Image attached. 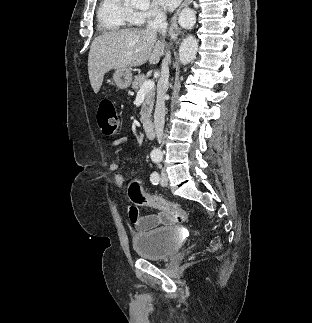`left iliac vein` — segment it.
<instances>
[{
	"mask_svg": "<svg viewBox=\"0 0 312 323\" xmlns=\"http://www.w3.org/2000/svg\"><path fill=\"white\" fill-rule=\"evenodd\" d=\"M160 183H161L162 186H167V184H168V178H167V173H166L165 169H163L161 171Z\"/></svg>",
	"mask_w": 312,
	"mask_h": 323,
	"instance_id": "4c4485c4",
	"label": "left iliac vein"
}]
</instances>
